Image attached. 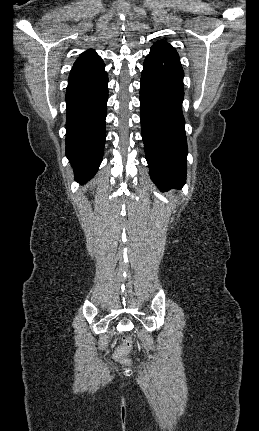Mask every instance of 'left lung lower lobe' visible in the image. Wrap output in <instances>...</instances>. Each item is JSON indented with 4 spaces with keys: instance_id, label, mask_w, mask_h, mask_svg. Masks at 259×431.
<instances>
[{
    "instance_id": "1",
    "label": "left lung lower lobe",
    "mask_w": 259,
    "mask_h": 431,
    "mask_svg": "<svg viewBox=\"0 0 259 431\" xmlns=\"http://www.w3.org/2000/svg\"><path fill=\"white\" fill-rule=\"evenodd\" d=\"M143 66L140 118L150 176L161 190L180 188L186 181L187 157L180 58L170 44L156 42Z\"/></svg>"
}]
</instances>
